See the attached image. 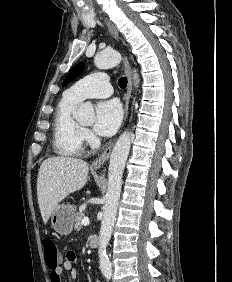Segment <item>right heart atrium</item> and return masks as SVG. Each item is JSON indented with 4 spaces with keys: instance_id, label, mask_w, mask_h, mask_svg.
I'll return each instance as SVG.
<instances>
[{
    "instance_id": "right-heart-atrium-1",
    "label": "right heart atrium",
    "mask_w": 232,
    "mask_h": 282,
    "mask_svg": "<svg viewBox=\"0 0 232 282\" xmlns=\"http://www.w3.org/2000/svg\"><path fill=\"white\" fill-rule=\"evenodd\" d=\"M84 139L91 142V141H93L94 138H93V135L91 134V132H89L88 130H84Z\"/></svg>"
}]
</instances>
